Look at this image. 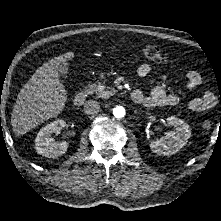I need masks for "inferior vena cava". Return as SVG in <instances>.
<instances>
[{
    "instance_id": "602c4592",
    "label": "inferior vena cava",
    "mask_w": 221,
    "mask_h": 221,
    "mask_svg": "<svg viewBox=\"0 0 221 221\" xmlns=\"http://www.w3.org/2000/svg\"><path fill=\"white\" fill-rule=\"evenodd\" d=\"M100 110V104L97 101L89 100L84 104V113L88 115L97 114Z\"/></svg>"
}]
</instances>
